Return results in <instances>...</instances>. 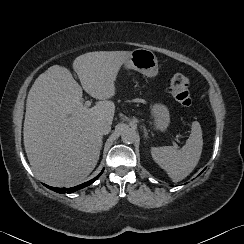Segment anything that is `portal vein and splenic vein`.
Segmentation results:
<instances>
[{
  "mask_svg": "<svg viewBox=\"0 0 244 244\" xmlns=\"http://www.w3.org/2000/svg\"><path fill=\"white\" fill-rule=\"evenodd\" d=\"M84 106H85V107H89V106H91V102H90V101H86V102L84 103ZM175 141H176V139H173V145H174L175 148H178V145H177V143H176Z\"/></svg>",
  "mask_w": 244,
  "mask_h": 244,
  "instance_id": "18ae733b",
  "label": "portal vein and splenic vein"
}]
</instances>
